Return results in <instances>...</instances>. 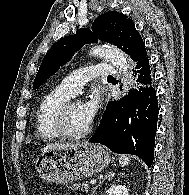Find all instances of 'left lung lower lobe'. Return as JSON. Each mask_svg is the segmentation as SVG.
I'll list each match as a JSON object with an SVG mask.
<instances>
[{
    "mask_svg": "<svg viewBox=\"0 0 189 195\" xmlns=\"http://www.w3.org/2000/svg\"><path fill=\"white\" fill-rule=\"evenodd\" d=\"M137 84L122 99L109 102L90 143H101L111 151L140 157L153 163L158 101L152 86L148 57L133 68Z\"/></svg>",
    "mask_w": 189,
    "mask_h": 195,
    "instance_id": "1",
    "label": "left lung lower lobe"
}]
</instances>
